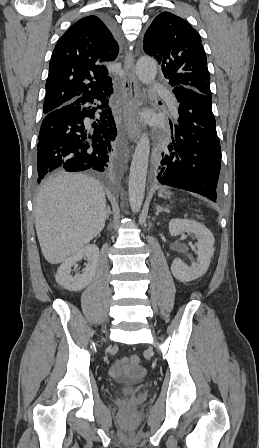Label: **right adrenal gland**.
<instances>
[{
    "label": "right adrenal gland",
    "instance_id": "obj_1",
    "mask_svg": "<svg viewBox=\"0 0 259 448\" xmlns=\"http://www.w3.org/2000/svg\"><path fill=\"white\" fill-rule=\"evenodd\" d=\"M109 214H110V212H108V214H107V218H109Z\"/></svg>",
    "mask_w": 259,
    "mask_h": 448
}]
</instances>
